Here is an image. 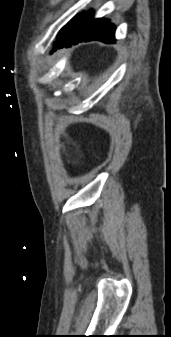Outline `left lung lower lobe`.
<instances>
[{"instance_id": "left-lung-lower-lobe-1", "label": "left lung lower lobe", "mask_w": 171, "mask_h": 337, "mask_svg": "<svg viewBox=\"0 0 171 337\" xmlns=\"http://www.w3.org/2000/svg\"><path fill=\"white\" fill-rule=\"evenodd\" d=\"M115 25L107 19L94 18L93 11L83 13L73 31L56 46L69 47L79 42L98 40L105 43L115 42Z\"/></svg>"}]
</instances>
